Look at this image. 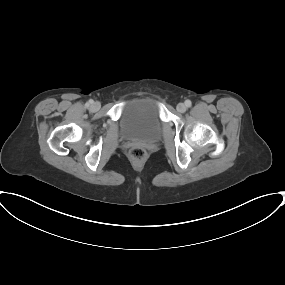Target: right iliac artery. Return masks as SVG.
<instances>
[{"label":"right iliac artery","instance_id":"obj_1","mask_svg":"<svg viewBox=\"0 0 285 285\" xmlns=\"http://www.w3.org/2000/svg\"><path fill=\"white\" fill-rule=\"evenodd\" d=\"M90 104H93V100H89V101L86 103V107H88Z\"/></svg>","mask_w":285,"mask_h":285}]
</instances>
